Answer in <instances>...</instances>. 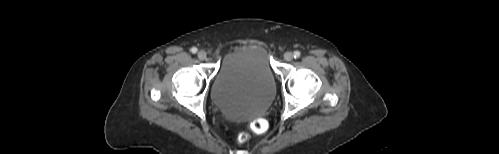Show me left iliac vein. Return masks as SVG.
Instances as JSON below:
<instances>
[{"label": "left iliac vein", "instance_id": "obj_1", "mask_svg": "<svg viewBox=\"0 0 499 154\" xmlns=\"http://www.w3.org/2000/svg\"><path fill=\"white\" fill-rule=\"evenodd\" d=\"M293 58H294V55H293L291 52H286V53L284 54V59H285L286 61H292V60H293Z\"/></svg>", "mask_w": 499, "mask_h": 154}]
</instances>
